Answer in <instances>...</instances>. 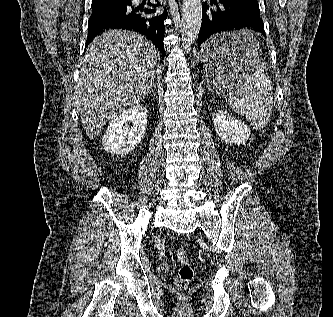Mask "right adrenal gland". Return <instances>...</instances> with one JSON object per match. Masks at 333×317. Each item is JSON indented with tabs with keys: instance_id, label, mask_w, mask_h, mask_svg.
Masks as SVG:
<instances>
[{
	"instance_id": "right-adrenal-gland-1",
	"label": "right adrenal gland",
	"mask_w": 333,
	"mask_h": 317,
	"mask_svg": "<svg viewBox=\"0 0 333 317\" xmlns=\"http://www.w3.org/2000/svg\"><path fill=\"white\" fill-rule=\"evenodd\" d=\"M148 95H153V96H155V92H154V86L151 88V91L149 92V94Z\"/></svg>"
}]
</instances>
